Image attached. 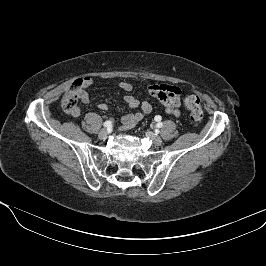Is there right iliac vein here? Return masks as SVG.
I'll use <instances>...</instances> for the list:
<instances>
[{"instance_id": "63e3f726", "label": "right iliac vein", "mask_w": 266, "mask_h": 266, "mask_svg": "<svg viewBox=\"0 0 266 266\" xmlns=\"http://www.w3.org/2000/svg\"><path fill=\"white\" fill-rule=\"evenodd\" d=\"M108 136V130L103 128L100 130L99 134H98V137L101 139V140H104L106 139Z\"/></svg>"}]
</instances>
